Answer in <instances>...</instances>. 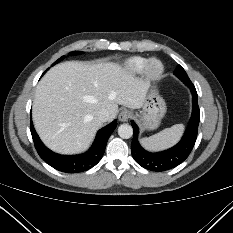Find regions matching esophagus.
Masks as SVG:
<instances>
[{"label":"esophagus","instance_id":"esophagus-1","mask_svg":"<svg viewBox=\"0 0 233 233\" xmlns=\"http://www.w3.org/2000/svg\"><path fill=\"white\" fill-rule=\"evenodd\" d=\"M131 117V112L129 110H122L119 115H118V119L121 122H126L129 120V118Z\"/></svg>","mask_w":233,"mask_h":233}]
</instances>
